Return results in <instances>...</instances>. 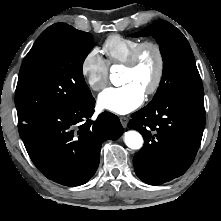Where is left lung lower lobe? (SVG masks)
I'll list each match as a JSON object with an SVG mask.
<instances>
[{
  "mask_svg": "<svg viewBox=\"0 0 221 221\" xmlns=\"http://www.w3.org/2000/svg\"><path fill=\"white\" fill-rule=\"evenodd\" d=\"M204 126V100L188 97L161 96L133 113L128 127L145 139L133 158L136 175L150 185L183 175L197 154Z\"/></svg>",
  "mask_w": 221,
  "mask_h": 221,
  "instance_id": "obj_1",
  "label": "left lung lower lobe"
}]
</instances>
